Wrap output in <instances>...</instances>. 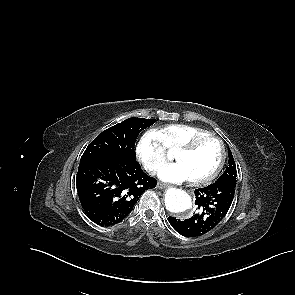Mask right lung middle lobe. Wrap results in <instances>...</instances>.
Here are the masks:
<instances>
[{
  "mask_svg": "<svg viewBox=\"0 0 295 295\" xmlns=\"http://www.w3.org/2000/svg\"><path fill=\"white\" fill-rule=\"evenodd\" d=\"M154 119L129 118L100 133L86 148L80 163L98 158L126 155L135 158V140L139 133L154 124Z\"/></svg>",
  "mask_w": 295,
  "mask_h": 295,
  "instance_id": "right-lung-middle-lobe-1",
  "label": "right lung middle lobe"
}]
</instances>
